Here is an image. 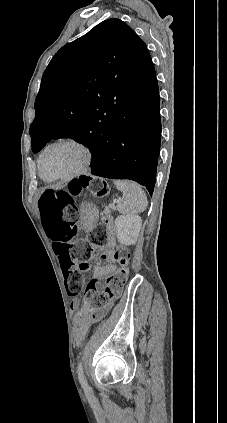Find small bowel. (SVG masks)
<instances>
[{"instance_id": "1", "label": "small bowel", "mask_w": 227, "mask_h": 423, "mask_svg": "<svg viewBox=\"0 0 227 423\" xmlns=\"http://www.w3.org/2000/svg\"><path fill=\"white\" fill-rule=\"evenodd\" d=\"M52 245L55 252L56 242L52 241ZM101 256L107 262V264L104 266L96 267L94 269L93 275L95 278H99V279L112 274L116 270L115 261L112 255L111 243L101 248ZM78 307H79V301L77 299H73L70 303L71 310H77ZM110 307H111V303H108L97 311H94L91 313L79 312L74 316V319H73L74 333L78 342H81L85 338L90 327L95 322L99 321L107 314Z\"/></svg>"}]
</instances>
